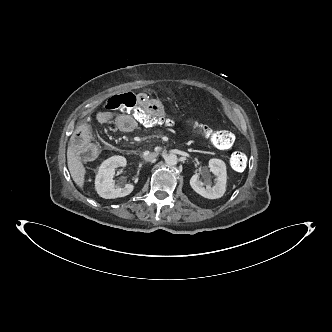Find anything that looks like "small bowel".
<instances>
[{"instance_id": "small-bowel-1", "label": "small bowel", "mask_w": 332, "mask_h": 332, "mask_svg": "<svg viewBox=\"0 0 332 332\" xmlns=\"http://www.w3.org/2000/svg\"><path fill=\"white\" fill-rule=\"evenodd\" d=\"M136 103L144 112L152 114L155 117L166 118L169 115V110L166 107L154 102L145 94L138 95ZM98 119L104 124L118 126V128L123 132H131L139 125L137 119L118 111L101 112Z\"/></svg>"}]
</instances>
